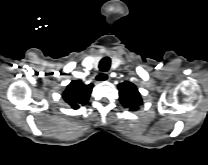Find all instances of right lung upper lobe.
<instances>
[{"mask_svg": "<svg viewBox=\"0 0 208 165\" xmlns=\"http://www.w3.org/2000/svg\"><path fill=\"white\" fill-rule=\"evenodd\" d=\"M92 87L93 84L85 85L81 80H74L67 86L62 97L73 109H77L87 103Z\"/></svg>", "mask_w": 208, "mask_h": 165, "instance_id": "1", "label": "right lung upper lobe"}]
</instances>
